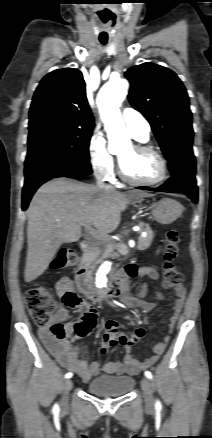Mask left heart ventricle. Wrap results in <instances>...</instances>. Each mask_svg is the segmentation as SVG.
I'll return each instance as SVG.
<instances>
[{
  "mask_svg": "<svg viewBox=\"0 0 212 438\" xmlns=\"http://www.w3.org/2000/svg\"><path fill=\"white\" fill-rule=\"evenodd\" d=\"M119 158L126 174L138 181H152L160 175L159 160L152 154L137 152L132 146L124 149Z\"/></svg>",
  "mask_w": 212,
  "mask_h": 438,
  "instance_id": "1",
  "label": "left heart ventricle"
}]
</instances>
